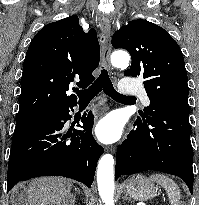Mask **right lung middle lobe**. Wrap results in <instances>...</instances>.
I'll list each match as a JSON object with an SVG mask.
<instances>
[{"label":"right lung middle lobe","mask_w":199,"mask_h":205,"mask_svg":"<svg viewBox=\"0 0 199 205\" xmlns=\"http://www.w3.org/2000/svg\"><path fill=\"white\" fill-rule=\"evenodd\" d=\"M55 112L56 111H50L30 116L16 117L14 136L22 134L41 123L55 119Z\"/></svg>","instance_id":"dd1d6c3e"}]
</instances>
